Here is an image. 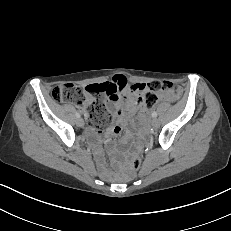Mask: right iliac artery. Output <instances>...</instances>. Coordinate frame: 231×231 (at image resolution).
<instances>
[{
	"label": "right iliac artery",
	"instance_id": "obj_1",
	"mask_svg": "<svg viewBox=\"0 0 231 231\" xmlns=\"http://www.w3.org/2000/svg\"><path fill=\"white\" fill-rule=\"evenodd\" d=\"M76 117L79 118L80 117V114L78 112H76Z\"/></svg>",
	"mask_w": 231,
	"mask_h": 231
}]
</instances>
